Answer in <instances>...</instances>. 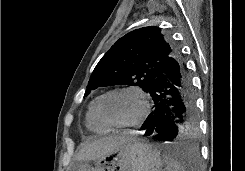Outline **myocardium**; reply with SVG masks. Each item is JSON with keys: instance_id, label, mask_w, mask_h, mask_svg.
Wrapping results in <instances>:
<instances>
[{"instance_id": "1", "label": "myocardium", "mask_w": 245, "mask_h": 171, "mask_svg": "<svg viewBox=\"0 0 245 171\" xmlns=\"http://www.w3.org/2000/svg\"><path fill=\"white\" fill-rule=\"evenodd\" d=\"M119 92H132L136 94L140 100L141 108H140L139 113L133 120L129 122H125V123H112L109 120H107L105 116L103 115L102 103L107 96L114 94V93H119ZM148 112H149V100H148L147 94L140 87L134 86V85H126V86H120V87L110 89L107 92L103 93L98 98V101L96 104V114L99 120L107 127L113 128V129H124V128L135 127L144 121Z\"/></svg>"}]
</instances>
